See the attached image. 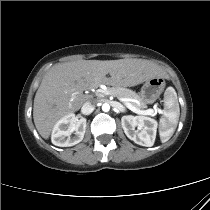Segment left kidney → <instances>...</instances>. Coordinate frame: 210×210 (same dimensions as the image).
<instances>
[{
  "label": "left kidney",
  "instance_id": "obj_1",
  "mask_svg": "<svg viewBox=\"0 0 210 210\" xmlns=\"http://www.w3.org/2000/svg\"><path fill=\"white\" fill-rule=\"evenodd\" d=\"M121 125L126 136L136 144L145 147L153 146L157 131L155 119L142 115H125L121 118Z\"/></svg>",
  "mask_w": 210,
  "mask_h": 210
}]
</instances>
